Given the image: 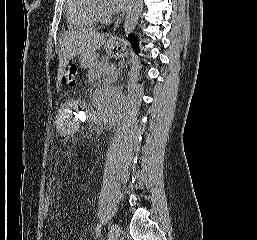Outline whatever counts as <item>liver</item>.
I'll use <instances>...</instances> for the list:
<instances>
[{
  "label": "liver",
  "mask_w": 257,
  "mask_h": 240,
  "mask_svg": "<svg viewBox=\"0 0 257 240\" xmlns=\"http://www.w3.org/2000/svg\"><path fill=\"white\" fill-rule=\"evenodd\" d=\"M106 35L95 29H78L65 32L59 39L58 79L61 78L69 62L78 54L95 53L105 42Z\"/></svg>",
  "instance_id": "liver-1"
}]
</instances>
